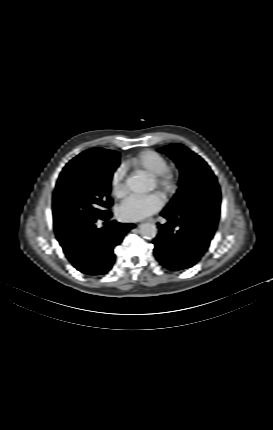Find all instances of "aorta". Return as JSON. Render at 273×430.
<instances>
[{
  "label": "aorta",
  "mask_w": 273,
  "mask_h": 430,
  "mask_svg": "<svg viewBox=\"0 0 273 430\" xmlns=\"http://www.w3.org/2000/svg\"><path fill=\"white\" fill-rule=\"evenodd\" d=\"M128 189L136 194H144L154 188V181L144 176L134 175L126 180ZM140 234L146 239H153L157 235V227L151 223L141 224Z\"/></svg>",
  "instance_id": "762f6f07"
}]
</instances>
